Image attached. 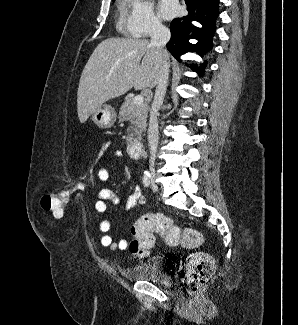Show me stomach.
<instances>
[{
  "label": "stomach",
  "instance_id": "0dacf381",
  "mask_svg": "<svg viewBox=\"0 0 298 325\" xmlns=\"http://www.w3.org/2000/svg\"><path fill=\"white\" fill-rule=\"evenodd\" d=\"M117 118V112L111 104H101L91 114V120L100 128H110Z\"/></svg>",
  "mask_w": 298,
  "mask_h": 325
}]
</instances>
